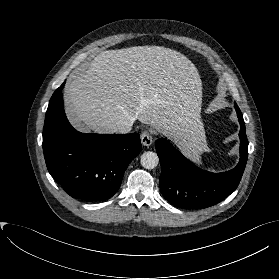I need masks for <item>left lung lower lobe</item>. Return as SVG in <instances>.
I'll list each match as a JSON object with an SVG mask.
<instances>
[{"label":"left lung lower lobe","instance_id":"0a47b994","mask_svg":"<svg viewBox=\"0 0 279 279\" xmlns=\"http://www.w3.org/2000/svg\"><path fill=\"white\" fill-rule=\"evenodd\" d=\"M240 122V160L227 172L211 173L186 159L165 138L156 141V152L161 163L160 189L164 198L175 207L202 209L211 207L237 188L248 158V140L242 114Z\"/></svg>","mask_w":279,"mask_h":279}]
</instances>
